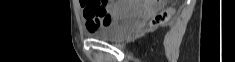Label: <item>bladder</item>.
<instances>
[{
	"mask_svg": "<svg viewBox=\"0 0 235 62\" xmlns=\"http://www.w3.org/2000/svg\"><path fill=\"white\" fill-rule=\"evenodd\" d=\"M115 13L107 24L89 31L88 36L102 41H120L134 29L141 18V8L133 1H127Z\"/></svg>",
	"mask_w": 235,
	"mask_h": 62,
	"instance_id": "obj_1",
	"label": "bladder"
}]
</instances>
